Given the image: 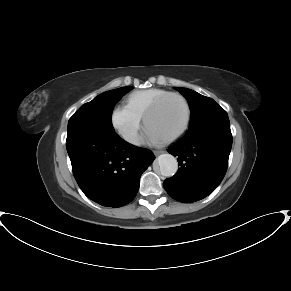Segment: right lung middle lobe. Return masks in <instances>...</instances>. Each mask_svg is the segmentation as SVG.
<instances>
[{
    "instance_id": "right-lung-middle-lobe-1",
    "label": "right lung middle lobe",
    "mask_w": 291,
    "mask_h": 291,
    "mask_svg": "<svg viewBox=\"0 0 291 291\" xmlns=\"http://www.w3.org/2000/svg\"><path fill=\"white\" fill-rule=\"evenodd\" d=\"M131 89L132 87H122L107 91L98 95L92 101L85 103L69 119L68 130L88 128L114 131L111 119L114 105Z\"/></svg>"
}]
</instances>
